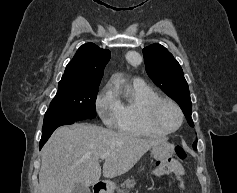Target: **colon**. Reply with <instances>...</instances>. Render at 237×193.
<instances>
[{
  "instance_id": "5ec220e1",
  "label": "colon",
  "mask_w": 237,
  "mask_h": 193,
  "mask_svg": "<svg viewBox=\"0 0 237 193\" xmlns=\"http://www.w3.org/2000/svg\"><path fill=\"white\" fill-rule=\"evenodd\" d=\"M186 156H187L186 151L182 147L178 146L175 148V158L177 160H184ZM173 161H175L174 158L159 162L158 165L156 166L157 174L164 175L172 171Z\"/></svg>"
}]
</instances>
